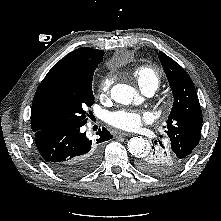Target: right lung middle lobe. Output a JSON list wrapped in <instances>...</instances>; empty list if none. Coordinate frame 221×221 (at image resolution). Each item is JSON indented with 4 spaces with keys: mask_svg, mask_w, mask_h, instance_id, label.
<instances>
[{
    "mask_svg": "<svg viewBox=\"0 0 221 221\" xmlns=\"http://www.w3.org/2000/svg\"><path fill=\"white\" fill-rule=\"evenodd\" d=\"M97 66L88 64L45 89L42 104L52 127L67 130L86 124V110L94 104L92 79Z\"/></svg>",
    "mask_w": 221,
    "mask_h": 221,
    "instance_id": "1",
    "label": "right lung middle lobe"
}]
</instances>
